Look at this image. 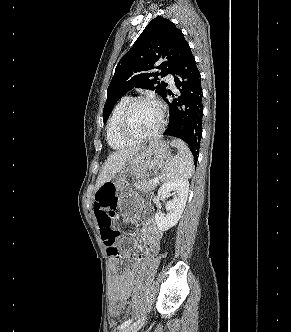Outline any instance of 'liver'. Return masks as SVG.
I'll return each mask as SVG.
<instances>
[{
  "instance_id": "liver-1",
  "label": "liver",
  "mask_w": 291,
  "mask_h": 332,
  "mask_svg": "<svg viewBox=\"0 0 291 332\" xmlns=\"http://www.w3.org/2000/svg\"><path fill=\"white\" fill-rule=\"evenodd\" d=\"M142 148L143 147L138 146L134 148L118 150L109 155L98 175L96 188L99 189L103 184L111 181L124 169L127 162L130 161Z\"/></svg>"
}]
</instances>
